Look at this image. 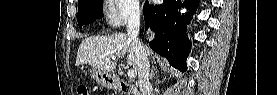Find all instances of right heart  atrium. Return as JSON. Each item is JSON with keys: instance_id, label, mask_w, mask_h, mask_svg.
Returning <instances> with one entry per match:
<instances>
[{"instance_id": "right-heart-atrium-1", "label": "right heart atrium", "mask_w": 277, "mask_h": 95, "mask_svg": "<svg viewBox=\"0 0 277 95\" xmlns=\"http://www.w3.org/2000/svg\"><path fill=\"white\" fill-rule=\"evenodd\" d=\"M109 2L106 19L113 28L122 27L138 14L139 1L137 0H110Z\"/></svg>"}]
</instances>
